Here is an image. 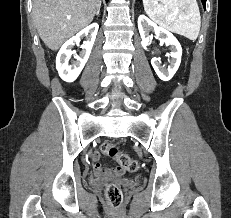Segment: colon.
<instances>
[{
    "instance_id": "1",
    "label": "colon",
    "mask_w": 231,
    "mask_h": 218,
    "mask_svg": "<svg viewBox=\"0 0 231 218\" xmlns=\"http://www.w3.org/2000/svg\"><path fill=\"white\" fill-rule=\"evenodd\" d=\"M102 152L110 158L116 160L122 168L129 172H135L138 170L139 165L136 160L125 154L121 149L112 143H104L101 146ZM105 194L109 203L117 207L122 201V191L116 184H108L105 190Z\"/></svg>"
}]
</instances>
